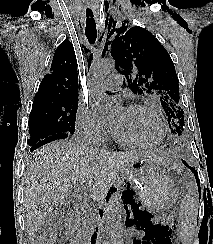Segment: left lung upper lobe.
Segmentation results:
<instances>
[{"label": "left lung upper lobe", "instance_id": "1", "mask_svg": "<svg viewBox=\"0 0 213 244\" xmlns=\"http://www.w3.org/2000/svg\"><path fill=\"white\" fill-rule=\"evenodd\" d=\"M108 45L117 71L126 77L132 92L159 99L172 133L185 137L179 81L173 61L163 45L148 30L137 26L127 29L125 25L116 30L106 50Z\"/></svg>", "mask_w": 213, "mask_h": 244}]
</instances>
